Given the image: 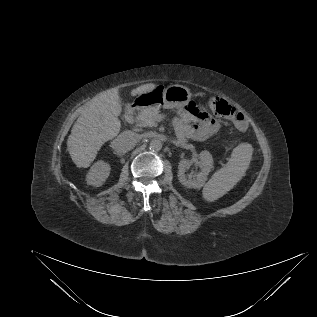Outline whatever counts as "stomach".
<instances>
[{"label": "stomach", "instance_id": "obj_1", "mask_svg": "<svg viewBox=\"0 0 317 317\" xmlns=\"http://www.w3.org/2000/svg\"><path fill=\"white\" fill-rule=\"evenodd\" d=\"M191 96L190 90L182 85H171L167 88L156 86L153 90L138 95L136 103L141 108H182L189 103Z\"/></svg>", "mask_w": 317, "mask_h": 317}]
</instances>
